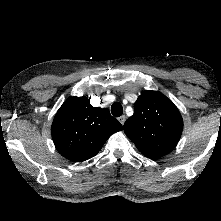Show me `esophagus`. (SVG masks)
Listing matches in <instances>:
<instances>
[{"instance_id":"obj_1","label":"esophagus","mask_w":221,"mask_h":221,"mask_svg":"<svg viewBox=\"0 0 221 221\" xmlns=\"http://www.w3.org/2000/svg\"><path fill=\"white\" fill-rule=\"evenodd\" d=\"M126 116L125 115H122V116H120L119 118H118V120H119V122L123 125L124 123H125V121H126Z\"/></svg>"}]
</instances>
